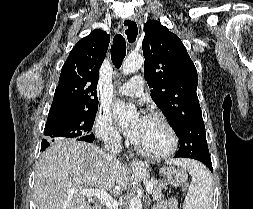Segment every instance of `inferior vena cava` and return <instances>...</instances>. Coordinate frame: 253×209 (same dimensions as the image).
Masks as SVG:
<instances>
[{"mask_svg":"<svg viewBox=\"0 0 253 209\" xmlns=\"http://www.w3.org/2000/svg\"><path fill=\"white\" fill-rule=\"evenodd\" d=\"M104 143L105 150L109 152L107 158L108 162L118 166L119 161L116 155L122 150L120 134L118 132H111L105 137Z\"/></svg>","mask_w":253,"mask_h":209,"instance_id":"obj_1","label":"inferior vena cava"}]
</instances>
